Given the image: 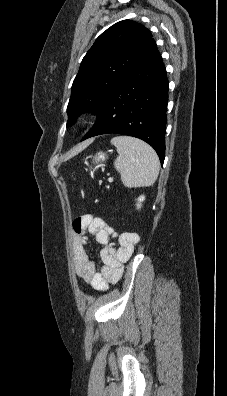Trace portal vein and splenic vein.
Returning <instances> with one entry per match:
<instances>
[{
  "mask_svg": "<svg viewBox=\"0 0 227 396\" xmlns=\"http://www.w3.org/2000/svg\"><path fill=\"white\" fill-rule=\"evenodd\" d=\"M108 181H109V182H112V181H113V179H112V178H109V179H108Z\"/></svg>",
  "mask_w": 227,
  "mask_h": 396,
  "instance_id": "1",
  "label": "portal vein and splenic vein"
}]
</instances>
